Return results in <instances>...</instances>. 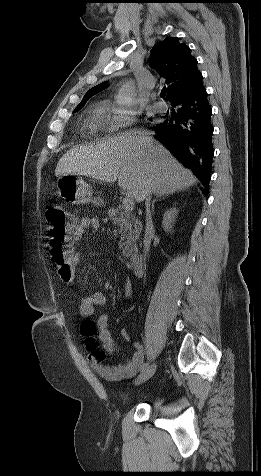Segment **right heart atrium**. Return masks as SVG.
<instances>
[{
  "label": "right heart atrium",
  "mask_w": 261,
  "mask_h": 476,
  "mask_svg": "<svg viewBox=\"0 0 261 476\" xmlns=\"http://www.w3.org/2000/svg\"><path fill=\"white\" fill-rule=\"evenodd\" d=\"M106 108L110 112L108 129L112 132L130 127L137 119V112L133 109L117 106L112 103H107Z\"/></svg>",
  "instance_id": "1"
}]
</instances>
